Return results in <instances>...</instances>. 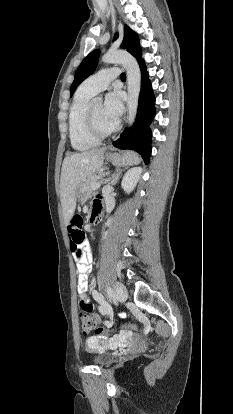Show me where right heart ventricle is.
I'll return each mask as SVG.
<instances>
[{
  "label": "right heart ventricle",
  "instance_id": "right-heart-ventricle-1",
  "mask_svg": "<svg viewBox=\"0 0 233 414\" xmlns=\"http://www.w3.org/2000/svg\"><path fill=\"white\" fill-rule=\"evenodd\" d=\"M92 95L80 88L76 91L68 114V132L71 146L85 151L99 145L100 140L93 138L85 128V112Z\"/></svg>",
  "mask_w": 233,
  "mask_h": 414
}]
</instances>
